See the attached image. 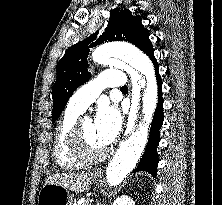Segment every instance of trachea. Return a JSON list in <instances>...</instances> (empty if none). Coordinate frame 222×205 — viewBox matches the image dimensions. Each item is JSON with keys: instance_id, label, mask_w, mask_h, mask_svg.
I'll list each match as a JSON object with an SVG mask.
<instances>
[{"instance_id": "1", "label": "trachea", "mask_w": 222, "mask_h": 205, "mask_svg": "<svg viewBox=\"0 0 222 205\" xmlns=\"http://www.w3.org/2000/svg\"><path fill=\"white\" fill-rule=\"evenodd\" d=\"M121 90H128V87L125 85L121 88Z\"/></svg>"}]
</instances>
